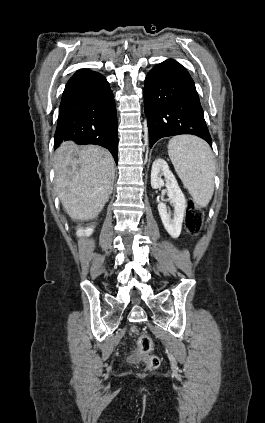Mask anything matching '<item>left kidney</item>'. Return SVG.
Wrapping results in <instances>:
<instances>
[{
  "instance_id": "obj_1",
  "label": "left kidney",
  "mask_w": 265,
  "mask_h": 423,
  "mask_svg": "<svg viewBox=\"0 0 265 423\" xmlns=\"http://www.w3.org/2000/svg\"><path fill=\"white\" fill-rule=\"evenodd\" d=\"M161 176H164L165 178V186L167 188L171 204L174 208L173 218H171V213L167 210L166 204L164 203L158 204V211L166 231L173 238H178L182 229V222L187 207V201L177 183L175 176L170 171L167 162L164 159L158 158L153 162L152 165V188L158 189L164 185V181L162 180Z\"/></svg>"
}]
</instances>
